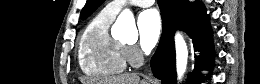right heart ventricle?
<instances>
[{
	"mask_svg": "<svg viewBox=\"0 0 260 84\" xmlns=\"http://www.w3.org/2000/svg\"><path fill=\"white\" fill-rule=\"evenodd\" d=\"M115 15L99 12L85 29L79 46L78 60L82 72L95 79L109 78L126 67L124 46L109 32Z\"/></svg>",
	"mask_w": 260,
	"mask_h": 84,
	"instance_id": "right-heart-ventricle-1",
	"label": "right heart ventricle"
}]
</instances>
